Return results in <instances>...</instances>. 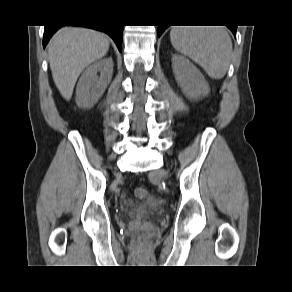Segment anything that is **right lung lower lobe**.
<instances>
[{
	"mask_svg": "<svg viewBox=\"0 0 292 292\" xmlns=\"http://www.w3.org/2000/svg\"><path fill=\"white\" fill-rule=\"evenodd\" d=\"M60 26H45L44 29V37H43V46L45 47L48 43L52 34L59 28ZM91 27L93 29L103 31L111 36V38L115 41L119 51H122V36H123V26H115V25H91L86 26Z\"/></svg>",
	"mask_w": 292,
	"mask_h": 292,
	"instance_id": "1",
	"label": "right lung lower lobe"
}]
</instances>
